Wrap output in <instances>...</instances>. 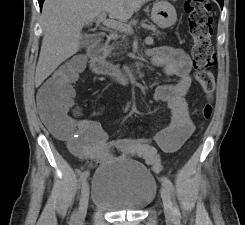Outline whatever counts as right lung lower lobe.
Returning a JSON list of instances; mask_svg holds the SVG:
<instances>
[{"label":"right lung lower lobe","instance_id":"98d812e1","mask_svg":"<svg viewBox=\"0 0 245 225\" xmlns=\"http://www.w3.org/2000/svg\"><path fill=\"white\" fill-rule=\"evenodd\" d=\"M38 2H39L40 9H41V8H42V5H43L44 0H38Z\"/></svg>","mask_w":245,"mask_h":225}]
</instances>
